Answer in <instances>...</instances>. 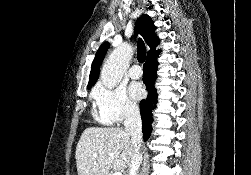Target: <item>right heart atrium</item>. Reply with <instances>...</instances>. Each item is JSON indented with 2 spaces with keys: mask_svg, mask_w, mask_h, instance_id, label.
Segmentation results:
<instances>
[{
  "mask_svg": "<svg viewBox=\"0 0 251 175\" xmlns=\"http://www.w3.org/2000/svg\"><path fill=\"white\" fill-rule=\"evenodd\" d=\"M96 117L105 124H120L138 114L137 104L123 86L110 87L98 83L93 93Z\"/></svg>",
  "mask_w": 251,
  "mask_h": 175,
  "instance_id": "d8ad5b80",
  "label": "right heart atrium"
}]
</instances>
